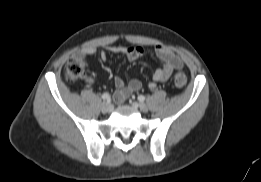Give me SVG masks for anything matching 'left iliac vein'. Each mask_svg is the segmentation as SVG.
<instances>
[{
  "mask_svg": "<svg viewBox=\"0 0 261 182\" xmlns=\"http://www.w3.org/2000/svg\"><path fill=\"white\" fill-rule=\"evenodd\" d=\"M132 105H133L134 108L140 109L142 112L148 111V107L144 103L133 102Z\"/></svg>",
  "mask_w": 261,
  "mask_h": 182,
  "instance_id": "4c4485c4",
  "label": "left iliac vein"
}]
</instances>
